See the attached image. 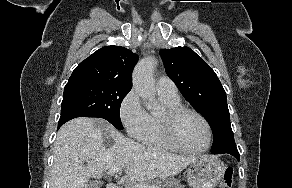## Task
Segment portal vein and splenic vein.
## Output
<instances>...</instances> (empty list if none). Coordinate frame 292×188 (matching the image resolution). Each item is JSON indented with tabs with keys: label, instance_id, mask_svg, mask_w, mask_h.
Segmentation results:
<instances>
[{
	"label": "portal vein and splenic vein",
	"instance_id": "obj_1",
	"mask_svg": "<svg viewBox=\"0 0 292 188\" xmlns=\"http://www.w3.org/2000/svg\"><path fill=\"white\" fill-rule=\"evenodd\" d=\"M119 171H121V167H112L108 170V175H114L116 173H118ZM135 188H158L157 186H148V185H144V184H135L134 185Z\"/></svg>",
	"mask_w": 292,
	"mask_h": 188
}]
</instances>
